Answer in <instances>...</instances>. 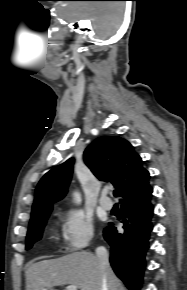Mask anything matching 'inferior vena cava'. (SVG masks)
<instances>
[{"instance_id": "obj_1", "label": "inferior vena cava", "mask_w": 187, "mask_h": 290, "mask_svg": "<svg viewBox=\"0 0 187 290\" xmlns=\"http://www.w3.org/2000/svg\"><path fill=\"white\" fill-rule=\"evenodd\" d=\"M96 256L97 258L99 259L101 265L103 267H109V255H108V252L106 250L105 247H98L96 249ZM101 290H108V286H107V279H106V276L104 275L103 276V279H102V288Z\"/></svg>"}]
</instances>
